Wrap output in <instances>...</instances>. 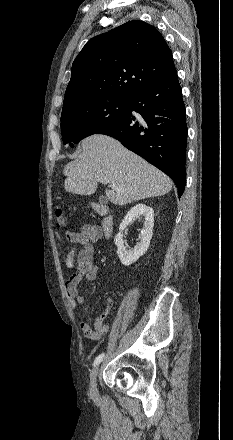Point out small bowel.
Returning a JSON list of instances; mask_svg holds the SVG:
<instances>
[{"instance_id": "obj_1", "label": "small bowel", "mask_w": 233, "mask_h": 440, "mask_svg": "<svg viewBox=\"0 0 233 440\" xmlns=\"http://www.w3.org/2000/svg\"><path fill=\"white\" fill-rule=\"evenodd\" d=\"M67 240L72 244L66 257L68 278L65 283L69 304L75 308L78 304L83 305L86 298L78 290L82 280L95 281L101 272L100 267L94 264V243L101 239V229L96 224H84L78 231H68ZM82 249L77 252V246ZM114 305L113 299H108L104 310L96 317L93 326L82 321L80 328L83 335L90 340H97L110 331V326L105 323L109 312Z\"/></svg>"}]
</instances>
